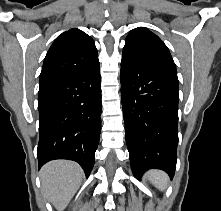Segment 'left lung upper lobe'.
I'll use <instances>...</instances> for the list:
<instances>
[{
  "instance_id": "5c2ea615",
  "label": "left lung upper lobe",
  "mask_w": 221,
  "mask_h": 211,
  "mask_svg": "<svg viewBox=\"0 0 221 211\" xmlns=\"http://www.w3.org/2000/svg\"><path fill=\"white\" fill-rule=\"evenodd\" d=\"M122 58H130L177 75L168 48L157 35L145 27L135 28L128 34Z\"/></svg>"
}]
</instances>
